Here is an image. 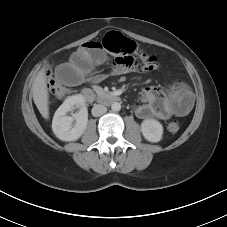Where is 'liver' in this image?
Wrapping results in <instances>:
<instances>
[{
	"mask_svg": "<svg viewBox=\"0 0 227 227\" xmlns=\"http://www.w3.org/2000/svg\"><path fill=\"white\" fill-rule=\"evenodd\" d=\"M34 103L44 119L49 118V94L45 69H41L32 85Z\"/></svg>",
	"mask_w": 227,
	"mask_h": 227,
	"instance_id": "6515ba94",
	"label": "liver"
}]
</instances>
